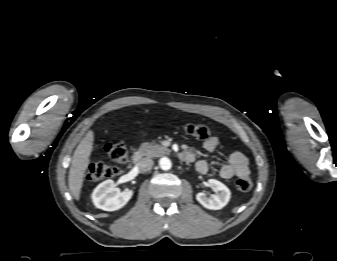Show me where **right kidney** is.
I'll use <instances>...</instances> for the list:
<instances>
[{"mask_svg": "<svg viewBox=\"0 0 337 261\" xmlns=\"http://www.w3.org/2000/svg\"><path fill=\"white\" fill-rule=\"evenodd\" d=\"M132 190L120 192L113 180L100 183L92 193V201L97 208L104 211H115L122 208L131 199Z\"/></svg>", "mask_w": 337, "mask_h": 261, "instance_id": "obj_1", "label": "right kidney"}]
</instances>
